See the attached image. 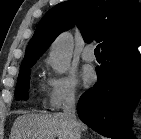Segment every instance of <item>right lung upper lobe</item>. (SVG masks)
Masks as SVG:
<instances>
[{
    "label": "right lung upper lobe",
    "mask_w": 141,
    "mask_h": 139,
    "mask_svg": "<svg viewBox=\"0 0 141 139\" xmlns=\"http://www.w3.org/2000/svg\"><path fill=\"white\" fill-rule=\"evenodd\" d=\"M77 24L85 42L102 41V50L141 32L138 0H69L51 8L30 40L21 68L34 65L54 39Z\"/></svg>",
    "instance_id": "cb5924a9"
}]
</instances>
